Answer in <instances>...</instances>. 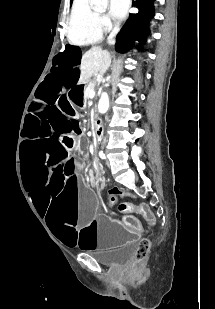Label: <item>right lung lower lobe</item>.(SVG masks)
I'll list each match as a JSON object with an SVG mask.
<instances>
[{"label":"right lung lower lobe","mask_w":215,"mask_h":309,"mask_svg":"<svg viewBox=\"0 0 215 309\" xmlns=\"http://www.w3.org/2000/svg\"><path fill=\"white\" fill-rule=\"evenodd\" d=\"M154 0H137L134 4L139 9L137 14H130L128 21L117 35L116 50L125 52L135 39L140 42L148 34V22L154 16Z\"/></svg>","instance_id":"1"}]
</instances>
